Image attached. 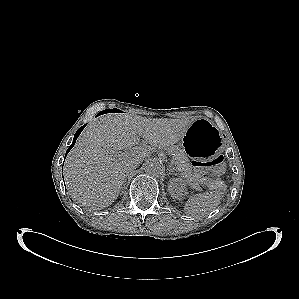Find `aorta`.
Masks as SVG:
<instances>
[{"label": "aorta", "instance_id": "762f6f07", "mask_svg": "<svg viewBox=\"0 0 299 299\" xmlns=\"http://www.w3.org/2000/svg\"><path fill=\"white\" fill-rule=\"evenodd\" d=\"M144 170L151 176H160L164 173L165 167L161 161L153 159L145 163Z\"/></svg>", "mask_w": 299, "mask_h": 299}]
</instances>
